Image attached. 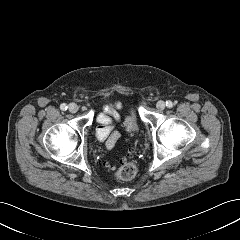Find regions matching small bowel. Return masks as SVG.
I'll return each instance as SVG.
<instances>
[{
  "mask_svg": "<svg viewBox=\"0 0 240 240\" xmlns=\"http://www.w3.org/2000/svg\"><path fill=\"white\" fill-rule=\"evenodd\" d=\"M115 107L119 108L120 103H115ZM96 119L100 123V126L96 129L97 139L105 141L106 148L112 149L120 138V132L113 130V123L114 120L118 119V115L113 109L104 107L103 111L97 114Z\"/></svg>",
  "mask_w": 240,
  "mask_h": 240,
  "instance_id": "1",
  "label": "small bowel"
}]
</instances>
